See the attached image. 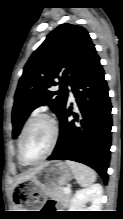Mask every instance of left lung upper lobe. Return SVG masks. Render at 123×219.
Returning a JSON list of instances; mask_svg holds the SVG:
<instances>
[{
    "label": "left lung upper lobe",
    "instance_id": "left-lung-upper-lobe-1",
    "mask_svg": "<svg viewBox=\"0 0 123 219\" xmlns=\"http://www.w3.org/2000/svg\"><path fill=\"white\" fill-rule=\"evenodd\" d=\"M95 45L82 26L62 24L47 35L26 63L15 93L12 111L13 138H16L28 115L41 105H48L59 117L72 86L86 64L96 57ZM60 90L53 92L55 80Z\"/></svg>",
    "mask_w": 123,
    "mask_h": 219
}]
</instances>
